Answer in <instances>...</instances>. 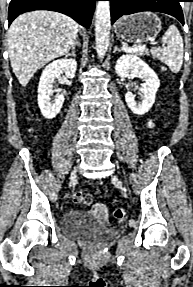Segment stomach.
Wrapping results in <instances>:
<instances>
[{"mask_svg": "<svg viewBox=\"0 0 193 287\" xmlns=\"http://www.w3.org/2000/svg\"><path fill=\"white\" fill-rule=\"evenodd\" d=\"M159 17L151 12H142L122 18L116 24V34L127 42L142 44L155 38L161 31Z\"/></svg>", "mask_w": 193, "mask_h": 287, "instance_id": "0dacf381", "label": "stomach"}]
</instances>
